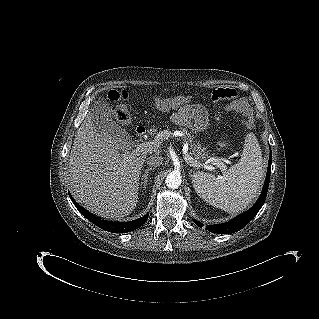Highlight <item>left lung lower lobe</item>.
I'll return each instance as SVG.
<instances>
[{"mask_svg": "<svg viewBox=\"0 0 319 319\" xmlns=\"http://www.w3.org/2000/svg\"><path fill=\"white\" fill-rule=\"evenodd\" d=\"M271 163H272V155L270 153L265 184L263 186V191L257 203L251 209H249L248 211L244 212L241 215H238L237 217H235L234 219H232L231 221L227 223L206 226L207 230H209L210 232L219 233V234L234 233L242 229L244 226H246V224H248L255 217V215L263 206L267 196V191H268V186L270 181ZM194 222L197 226L202 228L203 225L199 221L194 220Z\"/></svg>", "mask_w": 319, "mask_h": 319, "instance_id": "0a47b994", "label": "left lung lower lobe"}]
</instances>
